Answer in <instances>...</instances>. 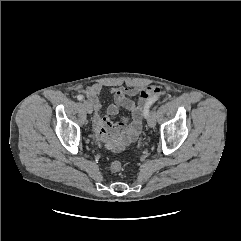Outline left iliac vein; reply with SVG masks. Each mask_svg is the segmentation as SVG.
<instances>
[{
    "label": "left iliac vein",
    "mask_w": 241,
    "mask_h": 241,
    "mask_svg": "<svg viewBox=\"0 0 241 241\" xmlns=\"http://www.w3.org/2000/svg\"><path fill=\"white\" fill-rule=\"evenodd\" d=\"M147 123L148 126L153 128L156 125V116H155V112H151L147 118Z\"/></svg>",
    "instance_id": "left-iliac-vein-1"
}]
</instances>
